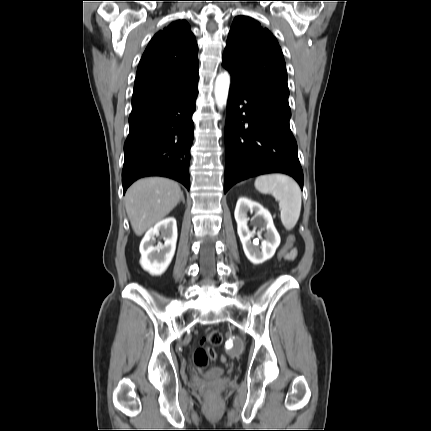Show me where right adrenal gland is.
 Instances as JSON below:
<instances>
[{"instance_id":"1","label":"right adrenal gland","mask_w":431,"mask_h":431,"mask_svg":"<svg viewBox=\"0 0 431 431\" xmlns=\"http://www.w3.org/2000/svg\"><path fill=\"white\" fill-rule=\"evenodd\" d=\"M181 201L183 202V204H185V199H184L183 194L181 195Z\"/></svg>"}]
</instances>
